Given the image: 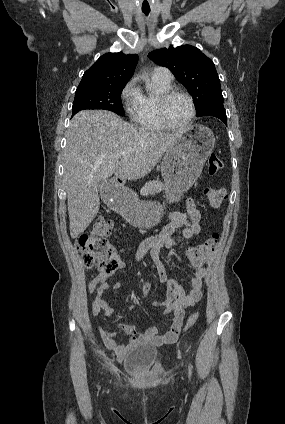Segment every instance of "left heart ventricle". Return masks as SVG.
Returning a JSON list of instances; mask_svg holds the SVG:
<instances>
[{"mask_svg": "<svg viewBox=\"0 0 285 424\" xmlns=\"http://www.w3.org/2000/svg\"><path fill=\"white\" fill-rule=\"evenodd\" d=\"M190 105L183 96H174L166 105V116L173 125H183L190 116Z\"/></svg>", "mask_w": 285, "mask_h": 424, "instance_id": "left-heart-ventricle-1", "label": "left heart ventricle"}]
</instances>
